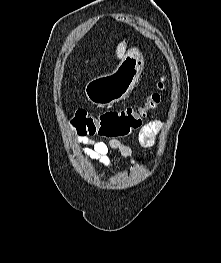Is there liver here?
<instances>
[{
  "mask_svg": "<svg viewBox=\"0 0 221 263\" xmlns=\"http://www.w3.org/2000/svg\"><path fill=\"white\" fill-rule=\"evenodd\" d=\"M125 49H126L125 41L118 44L117 50H116V54L118 58H121L124 55Z\"/></svg>",
  "mask_w": 221,
  "mask_h": 263,
  "instance_id": "obj_1",
  "label": "liver"
}]
</instances>
